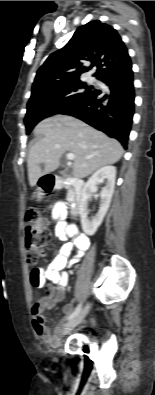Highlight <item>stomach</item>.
I'll return each mask as SVG.
<instances>
[{"label": "stomach", "mask_w": 155, "mask_h": 395, "mask_svg": "<svg viewBox=\"0 0 155 395\" xmlns=\"http://www.w3.org/2000/svg\"><path fill=\"white\" fill-rule=\"evenodd\" d=\"M37 194L40 195L41 193H40V192H37Z\"/></svg>", "instance_id": "obj_1"}]
</instances>
